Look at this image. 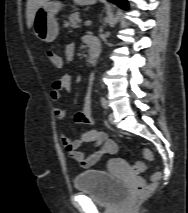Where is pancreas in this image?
Instances as JSON below:
<instances>
[{
    "label": "pancreas",
    "mask_w": 188,
    "mask_h": 213,
    "mask_svg": "<svg viewBox=\"0 0 188 213\" xmlns=\"http://www.w3.org/2000/svg\"><path fill=\"white\" fill-rule=\"evenodd\" d=\"M79 12H74L69 15L68 21L64 22V27L79 28L81 27V19Z\"/></svg>",
    "instance_id": "obj_1"
}]
</instances>
